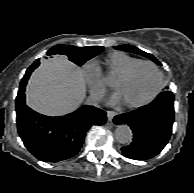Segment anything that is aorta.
<instances>
[{
    "instance_id": "aorta-1",
    "label": "aorta",
    "mask_w": 194,
    "mask_h": 193,
    "mask_svg": "<svg viewBox=\"0 0 194 193\" xmlns=\"http://www.w3.org/2000/svg\"><path fill=\"white\" fill-rule=\"evenodd\" d=\"M132 136V130L128 125H119L115 130V138L119 143H129L132 140Z\"/></svg>"
}]
</instances>
